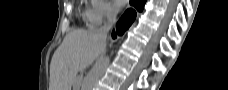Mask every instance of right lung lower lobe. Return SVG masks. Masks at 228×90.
Wrapping results in <instances>:
<instances>
[{
    "instance_id": "right-lung-lower-lobe-1",
    "label": "right lung lower lobe",
    "mask_w": 228,
    "mask_h": 90,
    "mask_svg": "<svg viewBox=\"0 0 228 90\" xmlns=\"http://www.w3.org/2000/svg\"><path fill=\"white\" fill-rule=\"evenodd\" d=\"M146 0H130V4L133 5L139 12L143 10ZM136 17V12L133 9H128L124 15L120 18L116 25V33L122 35L133 23ZM116 33L113 31L112 37L116 38Z\"/></svg>"
}]
</instances>
